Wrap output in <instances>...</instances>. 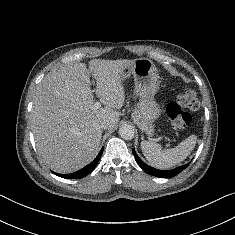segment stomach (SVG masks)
I'll return each instance as SVG.
<instances>
[{
  "instance_id": "obj_1",
  "label": "stomach",
  "mask_w": 235,
  "mask_h": 235,
  "mask_svg": "<svg viewBox=\"0 0 235 235\" xmlns=\"http://www.w3.org/2000/svg\"><path fill=\"white\" fill-rule=\"evenodd\" d=\"M133 75L135 89L140 97L139 109L142 123L153 131V122L161 110L154 96L159 90L160 82L154 63L148 58L135 59L121 71L122 80Z\"/></svg>"
}]
</instances>
